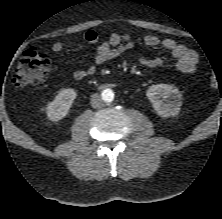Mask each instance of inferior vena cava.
Wrapping results in <instances>:
<instances>
[{
	"instance_id": "inferior-vena-cava-1",
	"label": "inferior vena cava",
	"mask_w": 222,
	"mask_h": 219,
	"mask_svg": "<svg viewBox=\"0 0 222 219\" xmlns=\"http://www.w3.org/2000/svg\"><path fill=\"white\" fill-rule=\"evenodd\" d=\"M91 105L93 108H102L104 105V102L99 94H93L91 96Z\"/></svg>"
}]
</instances>
